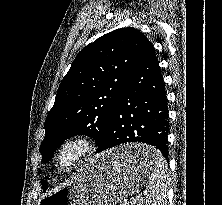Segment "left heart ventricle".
<instances>
[{
    "instance_id": "left-heart-ventricle-1",
    "label": "left heart ventricle",
    "mask_w": 222,
    "mask_h": 205,
    "mask_svg": "<svg viewBox=\"0 0 222 205\" xmlns=\"http://www.w3.org/2000/svg\"><path fill=\"white\" fill-rule=\"evenodd\" d=\"M71 155H72V152L71 151H67L65 153V158H69Z\"/></svg>"
}]
</instances>
